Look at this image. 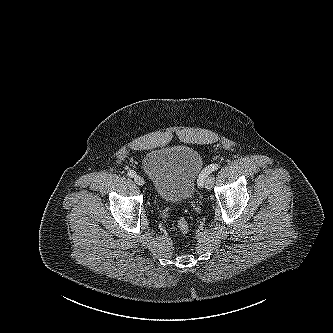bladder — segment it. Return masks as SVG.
<instances>
[{"label":"bladder","instance_id":"1","mask_svg":"<svg viewBox=\"0 0 333 333\" xmlns=\"http://www.w3.org/2000/svg\"><path fill=\"white\" fill-rule=\"evenodd\" d=\"M142 167L157 196L177 203L193 197L203 160L193 148L168 146L147 152Z\"/></svg>","mask_w":333,"mask_h":333}]
</instances>
